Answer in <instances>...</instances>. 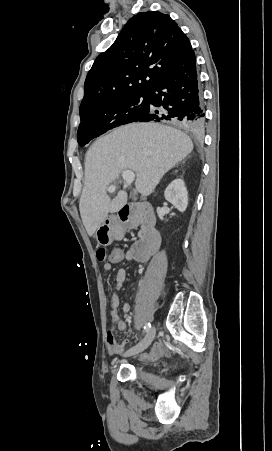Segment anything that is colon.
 Wrapping results in <instances>:
<instances>
[{"instance_id": "1", "label": "colon", "mask_w": 272, "mask_h": 451, "mask_svg": "<svg viewBox=\"0 0 272 451\" xmlns=\"http://www.w3.org/2000/svg\"><path fill=\"white\" fill-rule=\"evenodd\" d=\"M121 254H122V252L120 250H116V249H98L97 250V260L99 262H104L106 260V258L117 259ZM107 335H108L107 341H108L109 345L113 346L115 343V336H114V331L112 330V328L107 329Z\"/></svg>"}]
</instances>
